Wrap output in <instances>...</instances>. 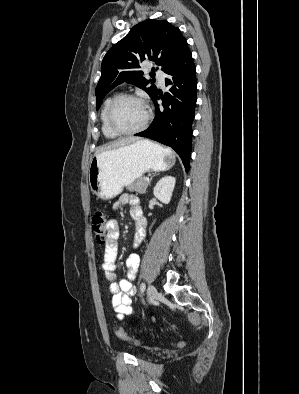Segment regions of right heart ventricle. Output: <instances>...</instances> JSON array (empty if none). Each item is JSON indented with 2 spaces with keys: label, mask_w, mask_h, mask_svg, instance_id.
<instances>
[{
  "label": "right heart ventricle",
  "mask_w": 299,
  "mask_h": 394,
  "mask_svg": "<svg viewBox=\"0 0 299 394\" xmlns=\"http://www.w3.org/2000/svg\"><path fill=\"white\" fill-rule=\"evenodd\" d=\"M116 94H113L109 97H107L103 103L102 109H101V114H100V120H101V130L102 133L105 137L109 138V139H114L116 138L118 135H116L115 133H113L110 128L107 125V120H106V116H107V110L108 107L111 103V101L116 97Z\"/></svg>",
  "instance_id": "obj_1"
}]
</instances>
